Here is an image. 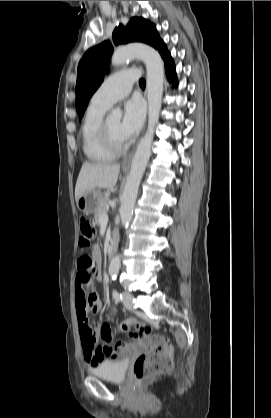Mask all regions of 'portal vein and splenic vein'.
Listing matches in <instances>:
<instances>
[{
	"instance_id": "18ae733b",
	"label": "portal vein and splenic vein",
	"mask_w": 271,
	"mask_h": 418,
	"mask_svg": "<svg viewBox=\"0 0 271 418\" xmlns=\"http://www.w3.org/2000/svg\"><path fill=\"white\" fill-rule=\"evenodd\" d=\"M108 222V215L107 213L103 214L100 218V223H107Z\"/></svg>"
}]
</instances>
